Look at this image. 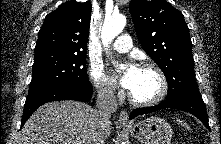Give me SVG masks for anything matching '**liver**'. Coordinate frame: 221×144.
Listing matches in <instances>:
<instances>
[{
	"label": "liver",
	"instance_id": "obj_1",
	"mask_svg": "<svg viewBox=\"0 0 221 144\" xmlns=\"http://www.w3.org/2000/svg\"><path fill=\"white\" fill-rule=\"evenodd\" d=\"M96 110L76 101L49 102L39 107L21 130L19 144H94ZM112 129L103 127L105 138Z\"/></svg>",
	"mask_w": 221,
	"mask_h": 144
}]
</instances>
